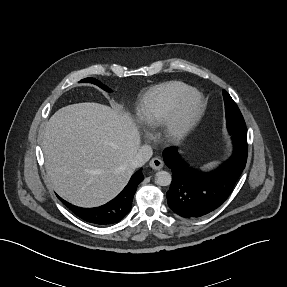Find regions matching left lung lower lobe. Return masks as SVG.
I'll return each instance as SVG.
<instances>
[{"instance_id": "left-lung-lower-lobe-1", "label": "left lung lower lobe", "mask_w": 287, "mask_h": 287, "mask_svg": "<svg viewBox=\"0 0 287 287\" xmlns=\"http://www.w3.org/2000/svg\"><path fill=\"white\" fill-rule=\"evenodd\" d=\"M234 142L232 157L213 172L190 168L176 147L163 152L165 164L172 171V182L166 193L173 212L183 218H199L218 208L231 194L245 168L248 147L246 126L228 127Z\"/></svg>"}]
</instances>
